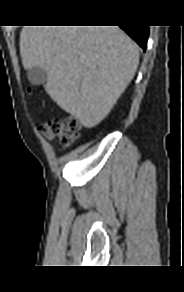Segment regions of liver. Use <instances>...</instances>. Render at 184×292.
Listing matches in <instances>:
<instances>
[{"mask_svg":"<svg viewBox=\"0 0 184 292\" xmlns=\"http://www.w3.org/2000/svg\"><path fill=\"white\" fill-rule=\"evenodd\" d=\"M19 45L23 67L45 70L47 94L86 128L108 115L139 63L118 26H24Z\"/></svg>","mask_w":184,"mask_h":292,"instance_id":"liver-1","label":"liver"}]
</instances>
